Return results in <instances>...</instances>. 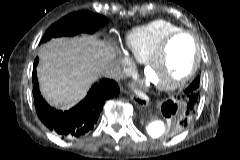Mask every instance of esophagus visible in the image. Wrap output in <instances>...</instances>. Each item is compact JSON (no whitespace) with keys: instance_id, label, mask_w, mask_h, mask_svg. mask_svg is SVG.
<instances>
[{"instance_id":"obj_1","label":"esophagus","mask_w":240,"mask_h":160,"mask_svg":"<svg viewBox=\"0 0 240 160\" xmlns=\"http://www.w3.org/2000/svg\"><path fill=\"white\" fill-rule=\"evenodd\" d=\"M131 100L140 107H146L148 105V100L146 99V96L142 93L131 95Z\"/></svg>"}]
</instances>
